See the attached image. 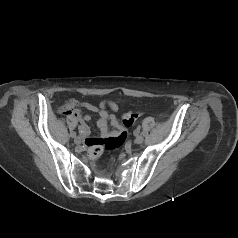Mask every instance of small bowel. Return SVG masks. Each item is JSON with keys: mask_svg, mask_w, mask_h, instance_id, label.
I'll return each instance as SVG.
<instances>
[{"mask_svg": "<svg viewBox=\"0 0 238 238\" xmlns=\"http://www.w3.org/2000/svg\"><path fill=\"white\" fill-rule=\"evenodd\" d=\"M110 107L111 110L117 111L118 105L114 101L101 102L98 106L88 102L78 101L76 99H70L61 107V111L69 116L74 117L79 122V131L85 138V144L91 148L99 140H103L109 137H116L121 134V130L124 129L113 114H109L106 107ZM82 109H86L95 113H98L99 119L97 126L100 130L102 138L89 137L90 129L87 122L90 120L89 115H84ZM109 125L113 127V130L109 129Z\"/></svg>", "mask_w": 238, "mask_h": 238, "instance_id": "1", "label": "small bowel"}]
</instances>
